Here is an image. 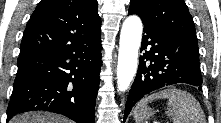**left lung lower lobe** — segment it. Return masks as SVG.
<instances>
[{
	"mask_svg": "<svg viewBox=\"0 0 221 123\" xmlns=\"http://www.w3.org/2000/svg\"><path fill=\"white\" fill-rule=\"evenodd\" d=\"M130 14H136L129 11ZM144 24L141 50L147 49L139 62L124 113V121L137 101L150 92L177 83L202 89V76L197 43L158 27Z\"/></svg>",
	"mask_w": 221,
	"mask_h": 123,
	"instance_id": "1",
	"label": "left lung lower lobe"
}]
</instances>
